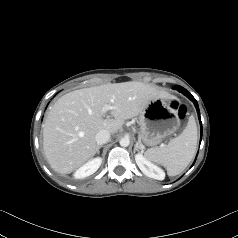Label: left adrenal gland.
<instances>
[{"label":"left adrenal gland","mask_w":238,"mask_h":238,"mask_svg":"<svg viewBox=\"0 0 238 238\" xmlns=\"http://www.w3.org/2000/svg\"><path fill=\"white\" fill-rule=\"evenodd\" d=\"M139 149H140L139 144H138V142H136L135 147H134V153H135L136 151L139 152Z\"/></svg>","instance_id":"left-adrenal-gland-1"}]
</instances>
